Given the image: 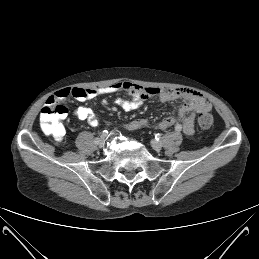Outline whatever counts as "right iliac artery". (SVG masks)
<instances>
[{
  "mask_svg": "<svg viewBox=\"0 0 259 259\" xmlns=\"http://www.w3.org/2000/svg\"><path fill=\"white\" fill-rule=\"evenodd\" d=\"M92 141H93L94 143H97V142L99 141V137H98V136H94V137L92 138Z\"/></svg>",
  "mask_w": 259,
  "mask_h": 259,
  "instance_id": "82829eb1",
  "label": "right iliac artery"
}]
</instances>
